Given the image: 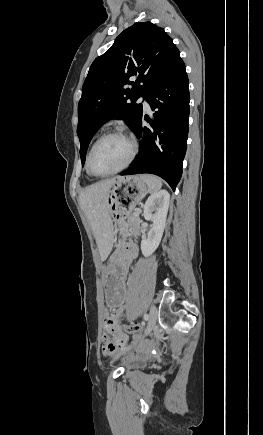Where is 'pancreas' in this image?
Returning <instances> with one entry per match:
<instances>
[{
    "instance_id": "1",
    "label": "pancreas",
    "mask_w": 263,
    "mask_h": 435,
    "mask_svg": "<svg viewBox=\"0 0 263 435\" xmlns=\"http://www.w3.org/2000/svg\"><path fill=\"white\" fill-rule=\"evenodd\" d=\"M138 215H136L135 212H130V214L128 215V219L125 227V231L128 235H134V236L139 235L140 219Z\"/></svg>"
}]
</instances>
